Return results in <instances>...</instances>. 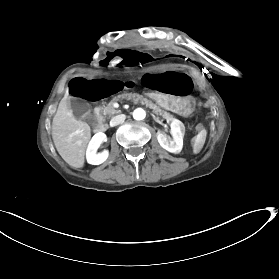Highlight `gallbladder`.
Returning <instances> with one entry per match:
<instances>
[{
	"label": "gallbladder",
	"mask_w": 279,
	"mask_h": 279,
	"mask_svg": "<svg viewBox=\"0 0 279 279\" xmlns=\"http://www.w3.org/2000/svg\"><path fill=\"white\" fill-rule=\"evenodd\" d=\"M70 105L73 114L78 120L89 122L93 118L94 114L90 111L89 105L85 100L72 97L70 99Z\"/></svg>",
	"instance_id": "bac80fb5"
}]
</instances>
